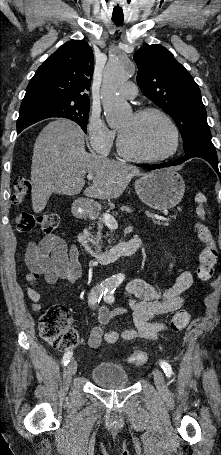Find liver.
Wrapping results in <instances>:
<instances>
[{"label": "liver", "mask_w": 221, "mask_h": 455, "mask_svg": "<svg viewBox=\"0 0 221 455\" xmlns=\"http://www.w3.org/2000/svg\"><path fill=\"white\" fill-rule=\"evenodd\" d=\"M86 174L95 178L84 195L98 199L118 198L134 176L143 175L137 167L86 152L84 134L73 121L59 118L50 122L33 149V211L42 212L53 193L79 194Z\"/></svg>", "instance_id": "obj_1"}]
</instances>
